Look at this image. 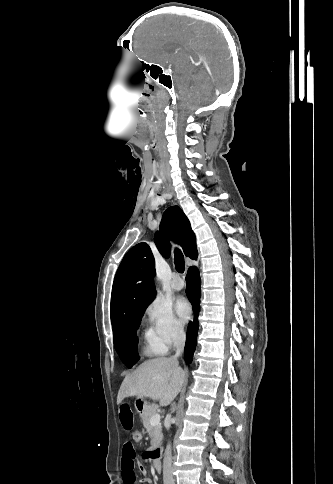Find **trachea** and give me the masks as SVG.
Masks as SVG:
<instances>
[{"mask_svg":"<svg viewBox=\"0 0 333 484\" xmlns=\"http://www.w3.org/2000/svg\"><path fill=\"white\" fill-rule=\"evenodd\" d=\"M174 264L175 268L179 273H183L185 269L184 256L179 249L174 252Z\"/></svg>","mask_w":333,"mask_h":484,"instance_id":"trachea-1","label":"trachea"}]
</instances>
